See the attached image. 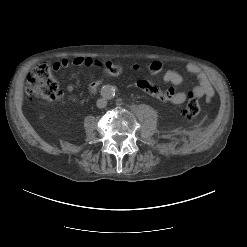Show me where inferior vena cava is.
<instances>
[{
	"mask_svg": "<svg viewBox=\"0 0 247 247\" xmlns=\"http://www.w3.org/2000/svg\"><path fill=\"white\" fill-rule=\"evenodd\" d=\"M96 105L98 108H105L107 105V100L105 98H100L97 100Z\"/></svg>",
	"mask_w": 247,
	"mask_h": 247,
	"instance_id": "inferior-vena-cava-1",
	"label": "inferior vena cava"
}]
</instances>
